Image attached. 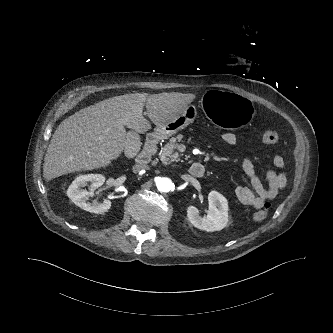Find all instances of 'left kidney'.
<instances>
[{
  "label": "left kidney",
  "mask_w": 333,
  "mask_h": 333,
  "mask_svg": "<svg viewBox=\"0 0 333 333\" xmlns=\"http://www.w3.org/2000/svg\"><path fill=\"white\" fill-rule=\"evenodd\" d=\"M209 210L206 217H201L194 206L187 209V217L191 224L207 232L220 231L228 223V202L227 199L217 191L208 194Z\"/></svg>",
  "instance_id": "5707ae66"
}]
</instances>
